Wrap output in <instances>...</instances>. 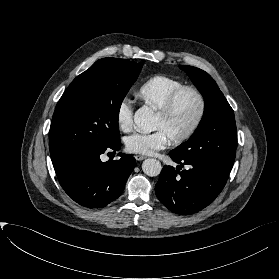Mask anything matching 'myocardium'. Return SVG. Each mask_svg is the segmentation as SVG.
<instances>
[{"label": "myocardium", "mask_w": 279, "mask_h": 279, "mask_svg": "<svg viewBox=\"0 0 279 279\" xmlns=\"http://www.w3.org/2000/svg\"><path fill=\"white\" fill-rule=\"evenodd\" d=\"M185 92H190L196 96V98L198 99V102H199V109H198L196 118L194 119V121L190 125V127L181 135L170 139V142H172L173 144H181V143L187 141L188 139H190L201 126V124L204 120L205 114H206L207 104H206V99H205L204 94L195 87L182 86V87L174 90L167 97L163 106L159 110H157V115H159L161 117H167L171 113L176 100L179 98V96L181 94H183Z\"/></svg>", "instance_id": "obj_1"}]
</instances>
